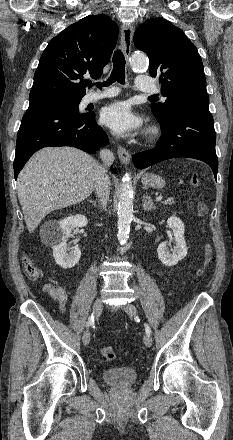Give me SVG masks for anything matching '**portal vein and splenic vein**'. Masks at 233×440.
<instances>
[{
  "label": "portal vein and splenic vein",
  "instance_id": "portal-vein-and-splenic-vein-1",
  "mask_svg": "<svg viewBox=\"0 0 233 440\" xmlns=\"http://www.w3.org/2000/svg\"><path fill=\"white\" fill-rule=\"evenodd\" d=\"M162 199H163V197L159 196V197L156 198V201H161Z\"/></svg>",
  "mask_w": 233,
  "mask_h": 440
}]
</instances>
